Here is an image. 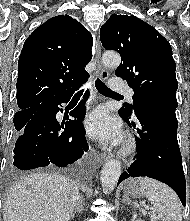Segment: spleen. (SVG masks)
Listing matches in <instances>:
<instances>
[{"mask_svg":"<svg viewBox=\"0 0 190 221\" xmlns=\"http://www.w3.org/2000/svg\"><path fill=\"white\" fill-rule=\"evenodd\" d=\"M144 196L150 200L162 221H182V206L177 194L157 180L139 178Z\"/></svg>","mask_w":190,"mask_h":221,"instance_id":"1","label":"spleen"}]
</instances>
